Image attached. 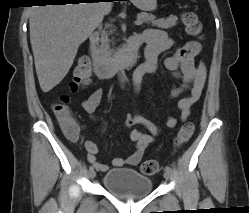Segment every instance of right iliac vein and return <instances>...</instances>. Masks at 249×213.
I'll list each match as a JSON object with an SVG mask.
<instances>
[{
	"mask_svg": "<svg viewBox=\"0 0 249 213\" xmlns=\"http://www.w3.org/2000/svg\"><path fill=\"white\" fill-rule=\"evenodd\" d=\"M95 176H96V172H95L94 170L90 171L89 177H90L91 179H94Z\"/></svg>",
	"mask_w": 249,
	"mask_h": 213,
	"instance_id": "right-iliac-vein-1",
	"label": "right iliac vein"
}]
</instances>
